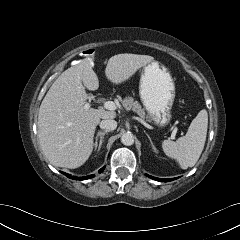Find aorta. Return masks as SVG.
I'll use <instances>...</instances> for the list:
<instances>
[{
  "mask_svg": "<svg viewBox=\"0 0 240 240\" xmlns=\"http://www.w3.org/2000/svg\"><path fill=\"white\" fill-rule=\"evenodd\" d=\"M121 142L122 144L126 145V146H131L134 144V136L132 133L127 132L125 134L122 135L121 137Z\"/></svg>",
  "mask_w": 240,
  "mask_h": 240,
  "instance_id": "obj_1",
  "label": "aorta"
}]
</instances>
